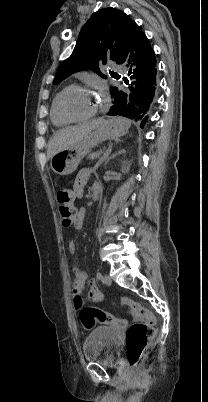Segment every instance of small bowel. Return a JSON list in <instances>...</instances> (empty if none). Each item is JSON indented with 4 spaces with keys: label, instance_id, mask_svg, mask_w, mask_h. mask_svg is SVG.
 <instances>
[{
    "label": "small bowel",
    "instance_id": "1",
    "mask_svg": "<svg viewBox=\"0 0 208 402\" xmlns=\"http://www.w3.org/2000/svg\"><path fill=\"white\" fill-rule=\"evenodd\" d=\"M89 174L90 173L88 170H82L76 176L73 190L76 196L79 198L83 196L84 188L87 184ZM77 213L80 218V222L76 221L74 223V226L80 229L82 227L83 210L77 211ZM67 249L71 253L75 251V243L73 240H70L68 242ZM72 273H73V287H72L73 303L75 307L79 308L84 304V299L81 297V293L86 283V274L83 271H81V269L78 268L77 266H74L72 268ZM88 288H89L88 297L90 301L98 303L104 300V293L99 288V285L96 280L88 281Z\"/></svg>",
    "mask_w": 208,
    "mask_h": 402
}]
</instances>
